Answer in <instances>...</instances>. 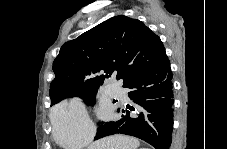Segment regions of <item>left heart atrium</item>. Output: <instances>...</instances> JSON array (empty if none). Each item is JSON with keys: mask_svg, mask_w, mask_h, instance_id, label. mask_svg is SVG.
<instances>
[{"mask_svg": "<svg viewBox=\"0 0 227 149\" xmlns=\"http://www.w3.org/2000/svg\"><path fill=\"white\" fill-rule=\"evenodd\" d=\"M104 114H107V111L106 110L104 111Z\"/></svg>", "mask_w": 227, "mask_h": 149, "instance_id": "obj_1", "label": "left heart atrium"}]
</instances>
